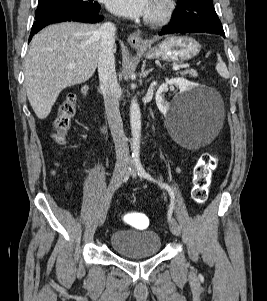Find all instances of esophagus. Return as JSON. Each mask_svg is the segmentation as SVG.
Instances as JSON below:
<instances>
[{
  "label": "esophagus",
  "instance_id": "34e87169",
  "mask_svg": "<svg viewBox=\"0 0 267 301\" xmlns=\"http://www.w3.org/2000/svg\"><path fill=\"white\" fill-rule=\"evenodd\" d=\"M128 43L133 47H142L144 45V41L142 38V33L140 30H136L131 33L128 37Z\"/></svg>",
  "mask_w": 267,
  "mask_h": 301
}]
</instances>
